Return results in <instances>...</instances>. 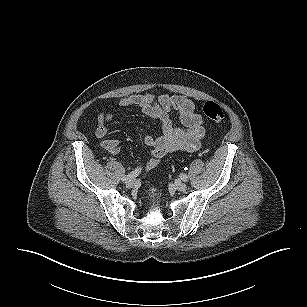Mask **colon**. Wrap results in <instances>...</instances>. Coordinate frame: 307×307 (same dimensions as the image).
<instances>
[{
	"label": "colon",
	"instance_id": "1",
	"mask_svg": "<svg viewBox=\"0 0 307 307\" xmlns=\"http://www.w3.org/2000/svg\"><path fill=\"white\" fill-rule=\"evenodd\" d=\"M203 113L212 121L220 122L224 119V111L217 103L207 101L203 106Z\"/></svg>",
	"mask_w": 307,
	"mask_h": 307
}]
</instances>
